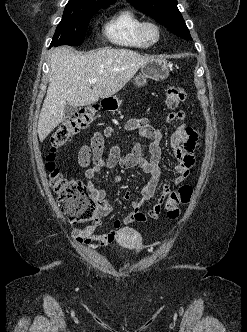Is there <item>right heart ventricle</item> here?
Masks as SVG:
<instances>
[{"mask_svg":"<svg viewBox=\"0 0 247 332\" xmlns=\"http://www.w3.org/2000/svg\"><path fill=\"white\" fill-rule=\"evenodd\" d=\"M142 18L133 10L125 8L114 14L104 25L103 32L117 46L144 49L148 47L139 35Z\"/></svg>","mask_w":247,"mask_h":332,"instance_id":"obj_1","label":"right heart ventricle"}]
</instances>
